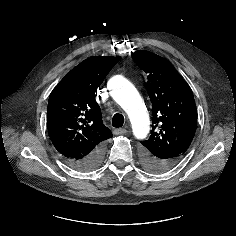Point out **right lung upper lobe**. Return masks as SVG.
Returning <instances> with one entry per match:
<instances>
[{"instance_id":"right-lung-upper-lobe-1","label":"right lung upper lobe","mask_w":236,"mask_h":236,"mask_svg":"<svg viewBox=\"0 0 236 236\" xmlns=\"http://www.w3.org/2000/svg\"><path fill=\"white\" fill-rule=\"evenodd\" d=\"M118 58L95 56L82 61L53 89L48 100L47 129L63 158L82 159L112 137L95 97Z\"/></svg>"}]
</instances>
